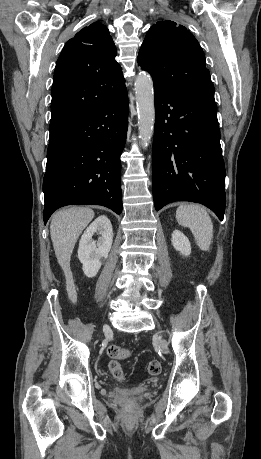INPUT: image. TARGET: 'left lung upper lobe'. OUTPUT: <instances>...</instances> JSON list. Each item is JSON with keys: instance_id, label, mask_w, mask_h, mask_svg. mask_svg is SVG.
Here are the masks:
<instances>
[{"instance_id": "5c2ea615", "label": "left lung upper lobe", "mask_w": 261, "mask_h": 459, "mask_svg": "<svg viewBox=\"0 0 261 459\" xmlns=\"http://www.w3.org/2000/svg\"><path fill=\"white\" fill-rule=\"evenodd\" d=\"M154 86L174 93L214 100V86L205 55L195 37L173 21H159L149 30L138 54Z\"/></svg>"}]
</instances>
